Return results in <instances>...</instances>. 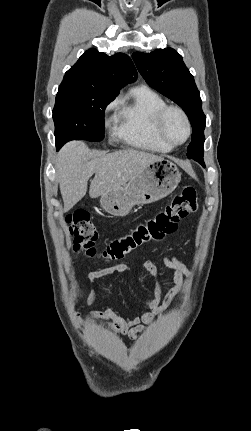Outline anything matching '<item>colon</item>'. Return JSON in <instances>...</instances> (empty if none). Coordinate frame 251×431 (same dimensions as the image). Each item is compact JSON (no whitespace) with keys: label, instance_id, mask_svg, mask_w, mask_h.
I'll use <instances>...</instances> for the list:
<instances>
[{"label":"colon","instance_id":"colon-1","mask_svg":"<svg viewBox=\"0 0 251 431\" xmlns=\"http://www.w3.org/2000/svg\"><path fill=\"white\" fill-rule=\"evenodd\" d=\"M197 208L198 197L195 188L185 187L153 217L139 223L125 235L113 239L99 252L95 246L99 234L87 212L76 211L69 214L66 217V223L76 253L111 262L124 258L142 245L163 241L176 231L182 218L196 211Z\"/></svg>","mask_w":251,"mask_h":431}]
</instances>
